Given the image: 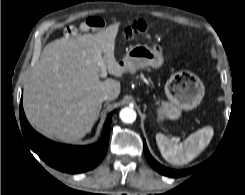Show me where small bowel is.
I'll list each match as a JSON object with an SVG mask.
<instances>
[{
  "mask_svg": "<svg viewBox=\"0 0 245 195\" xmlns=\"http://www.w3.org/2000/svg\"><path fill=\"white\" fill-rule=\"evenodd\" d=\"M106 26L105 21L98 16H89L78 26L69 25L65 29V35L68 37L76 36L79 32L99 31Z\"/></svg>",
  "mask_w": 245,
  "mask_h": 195,
  "instance_id": "1",
  "label": "small bowel"
}]
</instances>
